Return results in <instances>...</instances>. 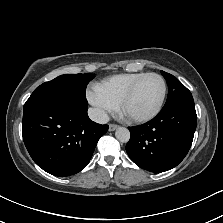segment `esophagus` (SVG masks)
<instances>
[{"mask_svg": "<svg viewBox=\"0 0 223 223\" xmlns=\"http://www.w3.org/2000/svg\"><path fill=\"white\" fill-rule=\"evenodd\" d=\"M119 126L117 124H109V131H114L118 128Z\"/></svg>", "mask_w": 223, "mask_h": 223, "instance_id": "34e87169", "label": "esophagus"}]
</instances>
